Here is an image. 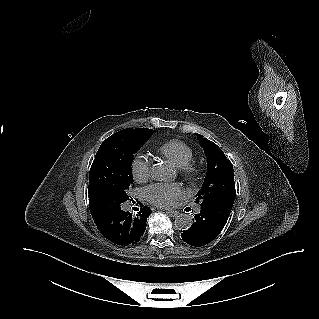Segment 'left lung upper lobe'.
I'll use <instances>...</instances> for the list:
<instances>
[{"label":"left lung upper lobe","mask_w":319,"mask_h":319,"mask_svg":"<svg viewBox=\"0 0 319 319\" xmlns=\"http://www.w3.org/2000/svg\"><path fill=\"white\" fill-rule=\"evenodd\" d=\"M196 135L207 157V174L196 195V202L203 204L219 199H234L236 191L231 162L215 143Z\"/></svg>","instance_id":"obj_1"}]
</instances>
